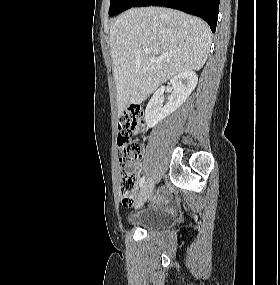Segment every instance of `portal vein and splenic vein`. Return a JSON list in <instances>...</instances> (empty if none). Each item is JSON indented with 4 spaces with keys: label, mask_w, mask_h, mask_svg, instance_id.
Returning a JSON list of instances; mask_svg holds the SVG:
<instances>
[{
    "label": "portal vein and splenic vein",
    "mask_w": 280,
    "mask_h": 285,
    "mask_svg": "<svg viewBox=\"0 0 280 285\" xmlns=\"http://www.w3.org/2000/svg\"><path fill=\"white\" fill-rule=\"evenodd\" d=\"M145 53H149V49H144ZM168 56V54L161 56L159 58H155V57H151V61H161L163 59H165Z\"/></svg>",
    "instance_id": "18ae733b"
}]
</instances>
